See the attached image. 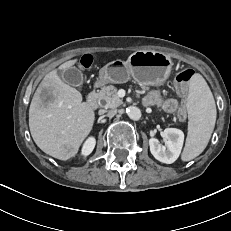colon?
Masks as SVG:
<instances>
[{"label": "colon", "mask_w": 231, "mask_h": 231, "mask_svg": "<svg viewBox=\"0 0 231 231\" xmlns=\"http://www.w3.org/2000/svg\"><path fill=\"white\" fill-rule=\"evenodd\" d=\"M92 61H93L92 56L85 55L81 58L80 64L82 67L88 68L91 66ZM193 76H194V71L192 69H184L180 71L179 73H177V75L175 76V79H174L175 85H176L178 92L181 95L186 94L188 84ZM178 118L181 121L185 120L186 118V110L184 107V102L182 103V106L180 107L178 111Z\"/></svg>", "instance_id": "1"}]
</instances>
